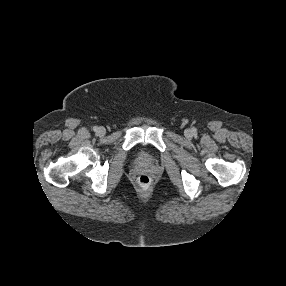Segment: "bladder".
Returning <instances> with one entry per match:
<instances>
[{
	"mask_svg": "<svg viewBox=\"0 0 286 286\" xmlns=\"http://www.w3.org/2000/svg\"><path fill=\"white\" fill-rule=\"evenodd\" d=\"M140 160H141L142 162H145V161H146V158L140 157Z\"/></svg>",
	"mask_w": 286,
	"mask_h": 286,
	"instance_id": "bladder-1",
	"label": "bladder"
}]
</instances>
